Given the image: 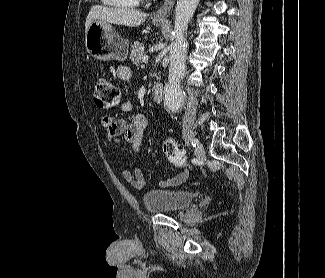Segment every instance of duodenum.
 <instances>
[{
	"label": "duodenum",
	"instance_id": "1",
	"mask_svg": "<svg viewBox=\"0 0 325 278\" xmlns=\"http://www.w3.org/2000/svg\"><path fill=\"white\" fill-rule=\"evenodd\" d=\"M153 95L155 101L160 104L163 100V85L160 81H156L153 88Z\"/></svg>",
	"mask_w": 325,
	"mask_h": 278
}]
</instances>
